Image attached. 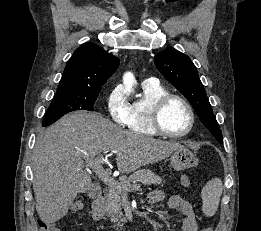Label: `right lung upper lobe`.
<instances>
[{
    "label": "right lung upper lobe",
    "mask_w": 261,
    "mask_h": 231,
    "mask_svg": "<svg viewBox=\"0 0 261 231\" xmlns=\"http://www.w3.org/2000/svg\"><path fill=\"white\" fill-rule=\"evenodd\" d=\"M118 65L117 57L96 44L85 43L68 60L57 91L101 90Z\"/></svg>",
    "instance_id": "cb5924a9"
}]
</instances>
